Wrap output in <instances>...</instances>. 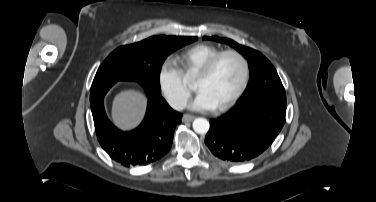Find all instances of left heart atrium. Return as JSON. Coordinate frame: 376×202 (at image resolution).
<instances>
[{"mask_svg": "<svg viewBox=\"0 0 376 202\" xmlns=\"http://www.w3.org/2000/svg\"><path fill=\"white\" fill-rule=\"evenodd\" d=\"M190 107L194 110H212L216 108L211 98L203 90H198L195 99L190 103Z\"/></svg>", "mask_w": 376, "mask_h": 202, "instance_id": "left-heart-atrium-1", "label": "left heart atrium"}]
</instances>
